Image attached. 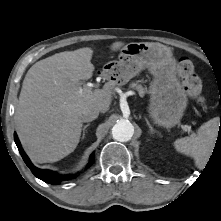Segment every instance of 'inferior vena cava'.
Wrapping results in <instances>:
<instances>
[{
  "mask_svg": "<svg viewBox=\"0 0 221 221\" xmlns=\"http://www.w3.org/2000/svg\"><path fill=\"white\" fill-rule=\"evenodd\" d=\"M100 109L96 106H90L81 111L80 119L82 122H90L96 119L99 115Z\"/></svg>",
  "mask_w": 221,
  "mask_h": 221,
  "instance_id": "1",
  "label": "inferior vena cava"
}]
</instances>
